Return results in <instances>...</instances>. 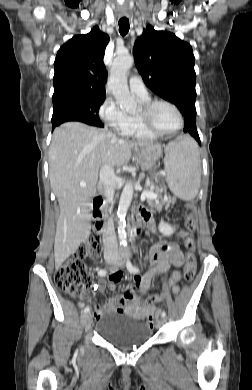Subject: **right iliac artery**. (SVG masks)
I'll return each mask as SVG.
<instances>
[{"label": "right iliac artery", "instance_id": "82829eb1", "mask_svg": "<svg viewBox=\"0 0 252 390\" xmlns=\"http://www.w3.org/2000/svg\"><path fill=\"white\" fill-rule=\"evenodd\" d=\"M107 274V271L105 269H100L98 271V275L99 276H105ZM90 311V308L89 307H86L83 311L84 314H87L88 312Z\"/></svg>", "mask_w": 252, "mask_h": 390}]
</instances>
